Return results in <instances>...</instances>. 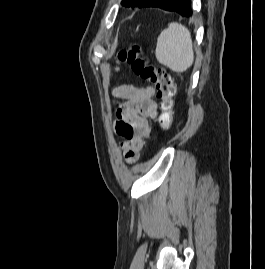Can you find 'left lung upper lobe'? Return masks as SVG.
<instances>
[{"label":"left lung upper lobe","instance_id":"obj_1","mask_svg":"<svg viewBox=\"0 0 265 269\" xmlns=\"http://www.w3.org/2000/svg\"><path fill=\"white\" fill-rule=\"evenodd\" d=\"M145 0H122L121 4L125 7H138Z\"/></svg>","mask_w":265,"mask_h":269}]
</instances>
